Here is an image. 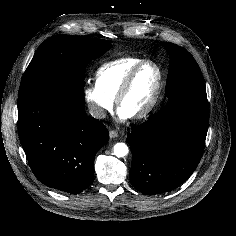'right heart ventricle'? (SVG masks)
Here are the masks:
<instances>
[{
  "mask_svg": "<svg viewBox=\"0 0 236 236\" xmlns=\"http://www.w3.org/2000/svg\"><path fill=\"white\" fill-rule=\"evenodd\" d=\"M144 60L140 57H123L105 63L96 72L97 85L111 99H116L127 74Z\"/></svg>",
  "mask_w": 236,
  "mask_h": 236,
  "instance_id": "obj_1",
  "label": "right heart ventricle"
}]
</instances>
